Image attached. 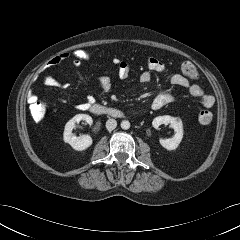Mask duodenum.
Segmentation results:
<instances>
[{
    "mask_svg": "<svg viewBox=\"0 0 240 240\" xmlns=\"http://www.w3.org/2000/svg\"><path fill=\"white\" fill-rule=\"evenodd\" d=\"M90 110L96 114H108L114 117H120L122 115V113L117 109L108 108L99 104L91 106Z\"/></svg>",
    "mask_w": 240,
    "mask_h": 240,
    "instance_id": "duodenum-1",
    "label": "duodenum"
}]
</instances>
